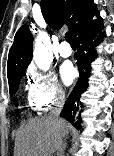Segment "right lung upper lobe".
<instances>
[{
  "label": "right lung upper lobe",
  "mask_w": 114,
  "mask_h": 156,
  "mask_svg": "<svg viewBox=\"0 0 114 156\" xmlns=\"http://www.w3.org/2000/svg\"><path fill=\"white\" fill-rule=\"evenodd\" d=\"M45 21L54 29L67 24L74 35L97 11L92 0H41ZM33 36L26 25L17 31L9 51L8 80L25 72L32 59Z\"/></svg>",
  "instance_id": "obj_1"
}]
</instances>
